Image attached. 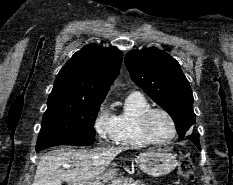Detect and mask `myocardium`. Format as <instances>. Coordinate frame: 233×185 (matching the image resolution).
I'll return each instance as SVG.
<instances>
[{"instance_id": "f54148a6", "label": "myocardium", "mask_w": 233, "mask_h": 185, "mask_svg": "<svg viewBox=\"0 0 233 185\" xmlns=\"http://www.w3.org/2000/svg\"><path fill=\"white\" fill-rule=\"evenodd\" d=\"M155 113L164 114L169 119V121L171 123L172 134L166 140H158L151 133L150 120H151V117L153 116V114H155ZM140 125H141V130H142L144 137L152 144H158V145L168 144L175 138V136L177 134L176 122H175L173 116L167 110H165L163 108L151 107L148 110H146L141 117Z\"/></svg>"}]
</instances>
